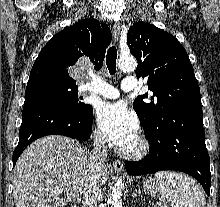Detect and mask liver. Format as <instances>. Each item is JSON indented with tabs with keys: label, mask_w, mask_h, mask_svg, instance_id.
Here are the masks:
<instances>
[{
	"label": "liver",
	"mask_w": 220,
	"mask_h": 207,
	"mask_svg": "<svg viewBox=\"0 0 220 207\" xmlns=\"http://www.w3.org/2000/svg\"><path fill=\"white\" fill-rule=\"evenodd\" d=\"M92 176L89 153L79 142L60 135L40 138L24 150L13 171L15 206L65 207L79 199ZM108 177L104 165L97 173L99 185Z\"/></svg>",
	"instance_id": "liver-1"
}]
</instances>
